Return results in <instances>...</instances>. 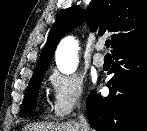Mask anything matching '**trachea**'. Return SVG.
I'll return each mask as SVG.
<instances>
[{"label":"trachea","instance_id":"obj_1","mask_svg":"<svg viewBox=\"0 0 147 131\" xmlns=\"http://www.w3.org/2000/svg\"><path fill=\"white\" fill-rule=\"evenodd\" d=\"M110 44H111V41H110V40H107V41L105 42L106 48H109Z\"/></svg>","mask_w":147,"mask_h":131}]
</instances>
